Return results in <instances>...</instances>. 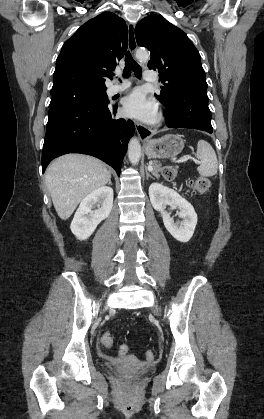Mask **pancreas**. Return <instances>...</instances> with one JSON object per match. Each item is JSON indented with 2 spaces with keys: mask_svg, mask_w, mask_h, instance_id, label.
<instances>
[{
  "mask_svg": "<svg viewBox=\"0 0 264 419\" xmlns=\"http://www.w3.org/2000/svg\"><path fill=\"white\" fill-rule=\"evenodd\" d=\"M160 171H162L161 164L154 163L153 170H152L153 175H155L157 178H159V172Z\"/></svg>",
  "mask_w": 264,
  "mask_h": 419,
  "instance_id": "pancreas-1",
  "label": "pancreas"
}]
</instances>
